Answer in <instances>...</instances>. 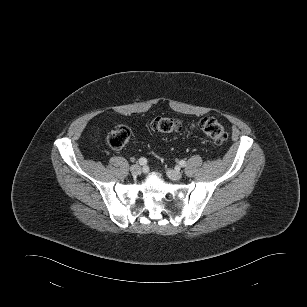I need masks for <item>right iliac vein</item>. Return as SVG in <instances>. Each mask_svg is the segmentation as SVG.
<instances>
[{"label":"right iliac vein","instance_id":"63e3f726","mask_svg":"<svg viewBox=\"0 0 307 307\" xmlns=\"http://www.w3.org/2000/svg\"><path fill=\"white\" fill-rule=\"evenodd\" d=\"M130 172L133 176H138L141 173V167L137 164L130 167Z\"/></svg>","mask_w":307,"mask_h":307}]
</instances>
